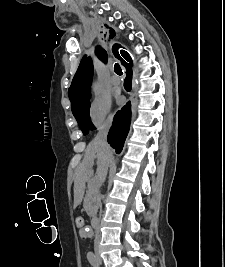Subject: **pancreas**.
<instances>
[{
  "instance_id": "1",
  "label": "pancreas",
  "mask_w": 225,
  "mask_h": 267,
  "mask_svg": "<svg viewBox=\"0 0 225 267\" xmlns=\"http://www.w3.org/2000/svg\"><path fill=\"white\" fill-rule=\"evenodd\" d=\"M96 191H97V185L94 184L92 181L89 182L88 190L86 192V196L84 199V208L86 212L88 213V215L90 216L93 214V207L91 205V202L95 196Z\"/></svg>"
}]
</instances>
